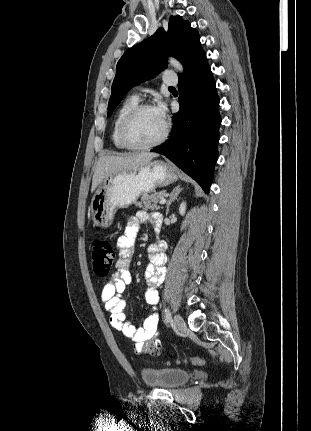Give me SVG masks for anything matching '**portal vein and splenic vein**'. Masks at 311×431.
I'll return each mask as SVG.
<instances>
[{"mask_svg": "<svg viewBox=\"0 0 311 431\" xmlns=\"http://www.w3.org/2000/svg\"><path fill=\"white\" fill-rule=\"evenodd\" d=\"M167 200H165V198H162V200H160L159 204H166Z\"/></svg>", "mask_w": 311, "mask_h": 431, "instance_id": "1", "label": "portal vein and splenic vein"}]
</instances>
